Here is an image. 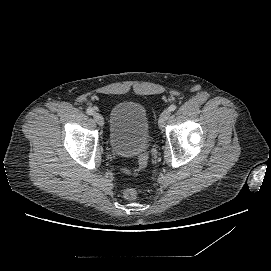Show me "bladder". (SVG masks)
<instances>
[{
	"mask_svg": "<svg viewBox=\"0 0 271 271\" xmlns=\"http://www.w3.org/2000/svg\"><path fill=\"white\" fill-rule=\"evenodd\" d=\"M109 145L111 150L124 158L146 151L150 145L149 115L141 103L122 101L110 112Z\"/></svg>",
	"mask_w": 271,
	"mask_h": 271,
	"instance_id": "obj_1",
	"label": "bladder"
}]
</instances>
